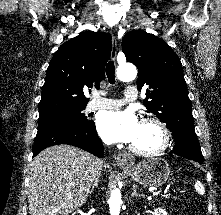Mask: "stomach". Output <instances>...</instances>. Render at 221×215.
<instances>
[{
  "label": "stomach",
  "mask_w": 221,
  "mask_h": 215,
  "mask_svg": "<svg viewBox=\"0 0 221 215\" xmlns=\"http://www.w3.org/2000/svg\"><path fill=\"white\" fill-rule=\"evenodd\" d=\"M131 178L145 188H156L165 184L170 176L167 162L161 158L144 160L128 170Z\"/></svg>",
  "instance_id": "obj_1"
}]
</instances>
